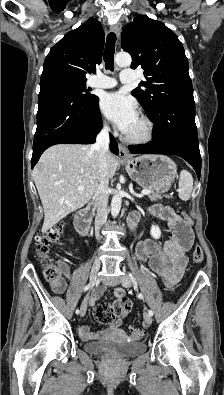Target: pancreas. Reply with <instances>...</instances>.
<instances>
[{
	"mask_svg": "<svg viewBox=\"0 0 224 395\" xmlns=\"http://www.w3.org/2000/svg\"><path fill=\"white\" fill-rule=\"evenodd\" d=\"M149 199L151 201H157V200H161L163 198V196L159 193L156 192H152L148 195Z\"/></svg>",
	"mask_w": 224,
	"mask_h": 395,
	"instance_id": "1",
	"label": "pancreas"
}]
</instances>
